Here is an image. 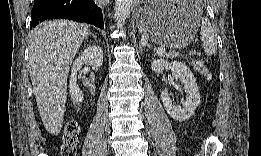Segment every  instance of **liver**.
Returning a JSON list of instances; mask_svg holds the SVG:
<instances>
[{"instance_id": "1", "label": "liver", "mask_w": 261, "mask_h": 156, "mask_svg": "<svg viewBox=\"0 0 261 156\" xmlns=\"http://www.w3.org/2000/svg\"><path fill=\"white\" fill-rule=\"evenodd\" d=\"M89 34L88 25L68 20L45 21L31 32L30 78L43 125L51 135L62 128L70 65Z\"/></svg>"}]
</instances>
